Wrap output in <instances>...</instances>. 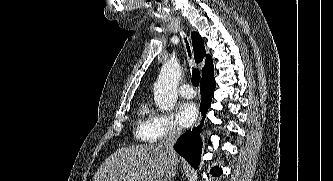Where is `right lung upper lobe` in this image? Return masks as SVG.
<instances>
[{"label":"right lung upper lobe","mask_w":333,"mask_h":181,"mask_svg":"<svg viewBox=\"0 0 333 181\" xmlns=\"http://www.w3.org/2000/svg\"><path fill=\"white\" fill-rule=\"evenodd\" d=\"M191 37H192V45L194 49L195 61L199 63L206 56L205 66L202 69L203 72L202 81L213 79L214 67H213L212 57L209 54L206 55L203 40L198 33L192 32Z\"/></svg>","instance_id":"cb5924a9"}]
</instances>
